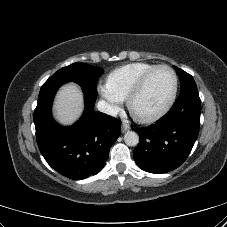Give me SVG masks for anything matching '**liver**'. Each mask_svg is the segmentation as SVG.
Instances as JSON below:
<instances>
[{"mask_svg":"<svg viewBox=\"0 0 227 227\" xmlns=\"http://www.w3.org/2000/svg\"><path fill=\"white\" fill-rule=\"evenodd\" d=\"M83 111V94L81 88L68 82L58 91L53 112L55 119L63 125L75 122Z\"/></svg>","mask_w":227,"mask_h":227,"instance_id":"1","label":"liver"}]
</instances>
